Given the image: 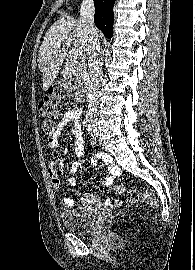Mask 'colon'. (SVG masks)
I'll list each match as a JSON object with an SVG mask.
<instances>
[{
	"label": "colon",
	"mask_w": 195,
	"mask_h": 270,
	"mask_svg": "<svg viewBox=\"0 0 195 270\" xmlns=\"http://www.w3.org/2000/svg\"><path fill=\"white\" fill-rule=\"evenodd\" d=\"M75 87V82L71 81L62 85H55L51 89V93L44 97V99L39 103L38 111L44 120L42 122V129L47 135H52L55 130L54 120L59 115V107L61 102L66 100L73 88ZM120 193H126L131 202H145L150 208L157 207L156 199L149 195L143 194L136 189H127L126 187L120 186L118 188ZM112 219L108 220L107 223L110 224Z\"/></svg>",
	"instance_id": "5ec220e1"
}]
</instances>
